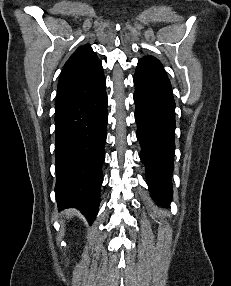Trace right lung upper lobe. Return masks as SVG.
Wrapping results in <instances>:
<instances>
[{
	"label": "right lung upper lobe",
	"instance_id": "obj_1",
	"mask_svg": "<svg viewBox=\"0 0 231 286\" xmlns=\"http://www.w3.org/2000/svg\"><path fill=\"white\" fill-rule=\"evenodd\" d=\"M101 68V61L92 48L87 45L81 46L65 63L59 83H71L81 78L93 76Z\"/></svg>",
	"mask_w": 231,
	"mask_h": 286
}]
</instances>
